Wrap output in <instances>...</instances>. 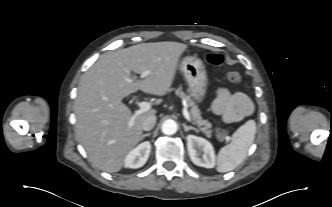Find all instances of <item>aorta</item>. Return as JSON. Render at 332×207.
<instances>
[{
	"instance_id": "obj_1",
	"label": "aorta",
	"mask_w": 332,
	"mask_h": 207,
	"mask_svg": "<svg viewBox=\"0 0 332 207\" xmlns=\"http://www.w3.org/2000/svg\"><path fill=\"white\" fill-rule=\"evenodd\" d=\"M162 132L166 135H173L177 132V124L174 120H166L162 124Z\"/></svg>"
}]
</instances>
